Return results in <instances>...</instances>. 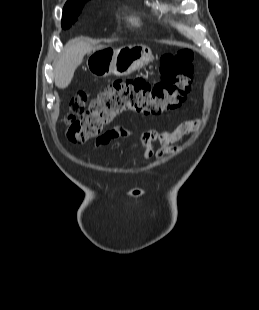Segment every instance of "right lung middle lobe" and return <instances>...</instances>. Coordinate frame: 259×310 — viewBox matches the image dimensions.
Segmentation results:
<instances>
[{
    "label": "right lung middle lobe",
    "mask_w": 259,
    "mask_h": 310,
    "mask_svg": "<svg viewBox=\"0 0 259 310\" xmlns=\"http://www.w3.org/2000/svg\"><path fill=\"white\" fill-rule=\"evenodd\" d=\"M87 1L79 3V5L70 8L68 10H63L62 15V28L68 29L74 22L78 19V16L81 13L82 7Z\"/></svg>",
    "instance_id": "1"
}]
</instances>
